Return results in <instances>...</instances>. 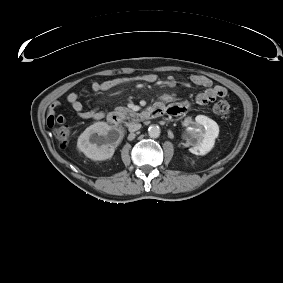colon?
<instances>
[{
	"label": "colon",
	"mask_w": 283,
	"mask_h": 283,
	"mask_svg": "<svg viewBox=\"0 0 283 283\" xmlns=\"http://www.w3.org/2000/svg\"><path fill=\"white\" fill-rule=\"evenodd\" d=\"M231 107L226 100H219L213 106V112L218 116H226L230 113ZM56 139L61 144H66L70 138V128L68 125L61 123V125L54 130Z\"/></svg>",
	"instance_id": "1"
}]
</instances>
